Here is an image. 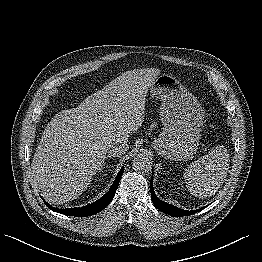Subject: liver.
Masks as SVG:
<instances>
[{
  "label": "liver",
  "instance_id": "6515ba94",
  "mask_svg": "<svg viewBox=\"0 0 262 262\" xmlns=\"http://www.w3.org/2000/svg\"><path fill=\"white\" fill-rule=\"evenodd\" d=\"M156 68L124 72L78 107L48 123L32 160L31 184L51 204L81 195L100 170L108 147L127 143L144 121L145 99Z\"/></svg>",
  "mask_w": 262,
  "mask_h": 262
}]
</instances>
